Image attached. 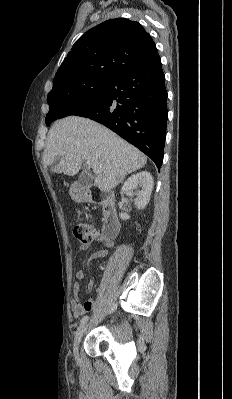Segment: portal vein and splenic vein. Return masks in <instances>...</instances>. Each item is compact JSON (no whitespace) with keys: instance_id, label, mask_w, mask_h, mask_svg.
Masks as SVG:
<instances>
[{"instance_id":"portal-vein-and-splenic-vein-1","label":"portal vein and splenic vein","mask_w":232,"mask_h":399,"mask_svg":"<svg viewBox=\"0 0 232 399\" xmlns=\"http://www.w3.org/2000/svg\"><path fill=\"white\" fill-rule=\"evenodd\" d=\"M87 166H94L93 172L94 174H101L100 170H98L97 166H95L94 162H91V160H87L86 162Z\"/></svg>"}]
</instances>
